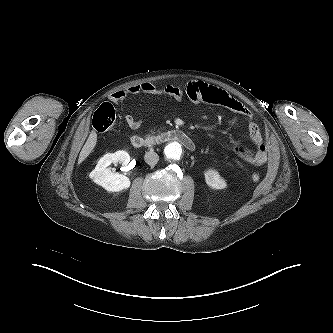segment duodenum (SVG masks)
Segmentation results:
<instances>
[{"label": "duodenum", "mask_w": 333, "mask_h": 333, "mask_svg": "<svg viewBox=\"0 0 333 333\" xmlns=\"http://www.w3.org/2000/svg\"><path fill=\"white\" fill-rule=\"evenodd\" d=\"M171 141L178 142L189 151L195 150V143L191 137L181 129L176 128L147 136L134 135L131 138V143L135 148L148 149L158 144Z\"/></svg>", "instance_id": "duodenum-1"}]
</instances>
